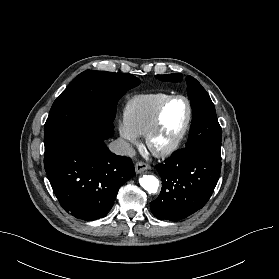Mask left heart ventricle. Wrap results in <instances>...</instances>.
<instances>
[{
    "label": "left heart ventricle",
    "instance_id": "obj_1",
    "mask_svg": "<svg viewBox=\"0 0 279 279\" xmlns=\"http://www.w3.org/2000/svg\"><path fill=\"white\" fill-rule=\"evenodd\" d=\"M186 117L187 106L183 100L169 103L163 113L161 128L154 138V146L160 148L168 144L180 132Z\"/></svg>",
    "mask_w": 279,
    "mask_h": 279
}]
</instances>
